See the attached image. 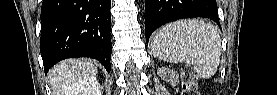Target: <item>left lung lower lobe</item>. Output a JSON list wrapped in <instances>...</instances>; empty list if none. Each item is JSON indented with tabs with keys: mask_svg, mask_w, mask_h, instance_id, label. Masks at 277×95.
<instances>
[{
	"mask_svg": "<svg viewBox=\"0 0 277 95\" xmlns=\"http://www.w3.org/2000/svg\"><path fill=\"white\" fill-rule=\"evenodd\" d=\"M207 17L219 24L215 0H146V43L158 27L177 19Z\"/></svg>",
	"mask_w": 277,
	"mask_h": 95,
	"instance_id": "obj_1",
	"label": "left lung lower lobe"
}]
</instances>
